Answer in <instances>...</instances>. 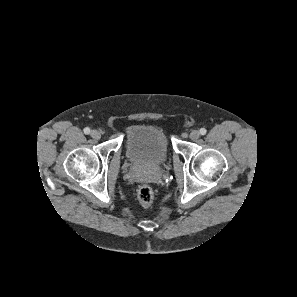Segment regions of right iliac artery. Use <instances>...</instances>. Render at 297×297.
<instances>
[{
  "label": "right iliac artery",
  "instance_id": "82829eb1",
  "mask_svg": "<svg viewBox=\"0 0 297 297\" xmlns=\"http://www.w3.org/2000/svg\"><path fill=\"white\" fill-rule=\"evenodd\" d=\"M84 133L89 134L90 133V128H88V127L84 128Z\"/></svg>",
  "mask_w": 297,
  "mask_h": 297
}]
</instances>
